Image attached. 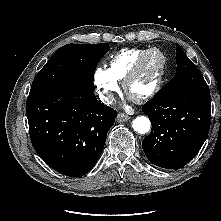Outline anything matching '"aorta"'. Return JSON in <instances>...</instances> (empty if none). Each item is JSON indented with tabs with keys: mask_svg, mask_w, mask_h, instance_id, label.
<instances>
[{
	"mask_svg": "<svg viewBox=\"0 0 221 221\" xmlns=\"http://www.w3.org/2000/svg\"><path fill=\"white\" fill-rule=\"evenodd\" d=\"M150 120L145 116H138L132 122V127L135 131L145 134L150 130Z\"/></svg>",
	"mask_w": 221,
	"mask_h": 221,
	"instance_id": "aorta-1",
	"label": "aorta"
}]
</instances>
